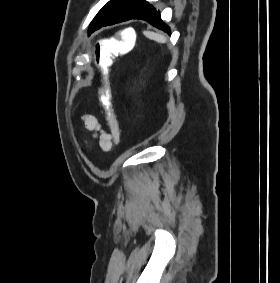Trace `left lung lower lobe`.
<instances>
[{
	"label": "left lung lower lobe",
	"mask_w": 280,
	"mask_h": 283,
	"mask_svg": "<svg viewBox=\"0 0 280 283\" xmlns=\"http://www.w3.org/2000/svg\"><path fill=\"white\" fill-rule=\"evenodd\" d=\"M130 19L145 20L148 23H150L152 26H154L158 29H161L164 32H167L168 34H170V28H169L168 25H166L161 20L160 12L157 11L152 5H150L147 2L134 15H132L130 17H118V18H114V19L105 21L97 29L101 28L102 26L112 25V24H115V23H120V22H123V21L130 20Z\"/></svg>",
	"instance_id": "1"
}]
</instances>
